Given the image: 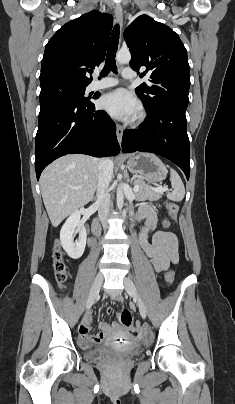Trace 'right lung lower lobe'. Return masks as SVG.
Wrapping results in <instances>:
<instances>
[{
    "label": "right lung lower lobe",
    "instance_id": "right-lung-lower-lobe-1",
    "mask_svg": "<svg viewBox=\"0 0 235 404\" xmlns=\"http://www.w3.org/2000/svg\"><path fill=\"white\" fill-rule=\"evenodd\" d=\"M119 152L116 125L105 111H96L91 101L40 102L35 141L37 179L48 164L66 154L82 153L102 157L114 156Z\"/></svg>",
    "mask_w": 235,
    "mask_h": 404
}]
</instances>
